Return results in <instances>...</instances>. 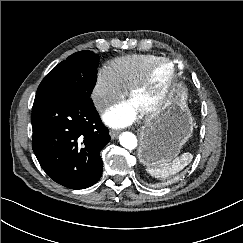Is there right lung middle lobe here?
Masks as SVG:
<instances>
[{"mask_svg":"<svg viewBox=\"0 0 243 243\" xmlns=\"http://www.w3.org/2000/svg\"><path fill=\"white\" fill-rule=\"evenodd\" d=\"M98 55L80 51L58 64L40 83L37 94L66 99H88L96 84Z\"/></svg>","mask_w":243,"mask_h":243,"instance_id":"1","label":"right lung middle lobe"}]
</instances>
